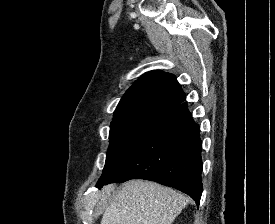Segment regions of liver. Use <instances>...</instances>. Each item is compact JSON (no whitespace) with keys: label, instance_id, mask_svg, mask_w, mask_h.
<instances>
[{"label":"liver","instance_id":"liver-1","mask_svg":"<svg viewBox=\"0 0 275 224\" xmlns=\"http://www.w3.org/2000/svg\"><path fill=\"white\" fill-rule=\"evenodd\" d=\"M188 202L183 194L155 182L131 180L118 191L114 184L106 185L101 224H172Z\"/></svg>","mask_w":275,"mask_h":224}]
</instances>
